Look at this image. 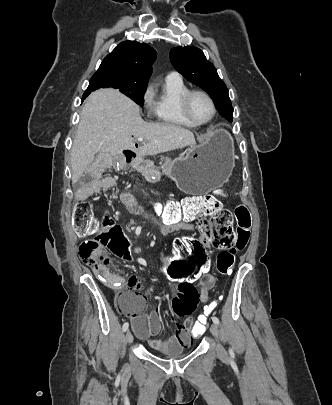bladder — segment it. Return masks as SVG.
Segmentation results:
<instances>
[{"mask_svg":"<svg viewBox=\"0 0 332 405\" xmlns=\"http://www.w3.org/2000/svg\"><path fill=\"white\" fill-rule=\"evenodd\" d=\"M159 353L166 357H180L183 355V350L180 348H169L160 350Z\"/></svg>","mask_w":332,"mask_h":405,"instance_id":"31cf9c89","label":"bladder"}]
</instances>
